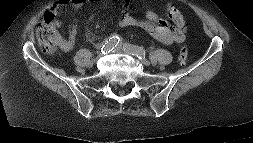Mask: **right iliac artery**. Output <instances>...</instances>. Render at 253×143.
I'll list each match as a JSON object with an SVG mask.
<instances>
[{
    "instance_id": "1",
    "label": "right iliac artery",
    "mask_w": 253,
    "mask_h": 143,
    "mask_svg": "<svg viewBox=\"0 0 253 143\" xmlns=\"http://www.w3.org/2000/svg\"><path fill=\"white\" fill-rule=\"evenodd\" d=\"M120 38L118 36H113L105 41L103 46L101 47L102 53L109 52L113 50L117 44L119 43Z\"/></svg>"
}]
</instances>
